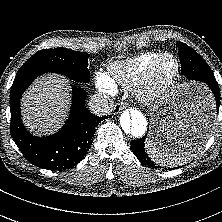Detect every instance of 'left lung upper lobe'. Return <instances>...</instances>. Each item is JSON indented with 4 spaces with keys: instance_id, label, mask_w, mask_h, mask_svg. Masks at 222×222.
<instances>
[{
    "instance_id": "obj_1",
    "label": "left lung upper lobe",
    "mask_w": 222,
    "mask_h": 222,
    "mask_svg": "<svg viewBox=\"0 0 222 222\" xmlns=\"http://www.w3.org/2000/svg\"><path fill=\"white\" fill-rule=\"evenodd\" d=\"M179 49V58L190 56L195 58L198 63H200L205 69H207L210 73H213L209 65L205 62V60L191 47L187 46L184 43L178 42L177 43Z\"/></svg>"
}]
</instances>
